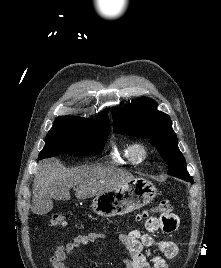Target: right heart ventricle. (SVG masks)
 <instances>
[{
    "label": "right heart ventricle",
    "mask_w": 221,
    "mask_h": 268,
    "mask_svg": "<svg viewBox=\"0 0 221 268\" xmlns=\"http://www.w3.org/2000/svg\"><path fill=\"white\" fill-rule=\"evenodd\" d=\"M131 144H114L111 151L112 159L119 164H134L130 155Z\"/></svg>",
    "instance_id": "right-heart-ventricle-1"
}]
</instances>
